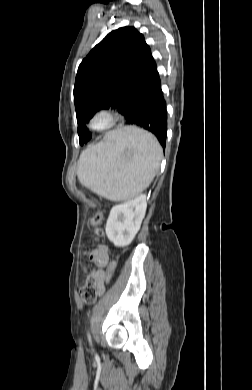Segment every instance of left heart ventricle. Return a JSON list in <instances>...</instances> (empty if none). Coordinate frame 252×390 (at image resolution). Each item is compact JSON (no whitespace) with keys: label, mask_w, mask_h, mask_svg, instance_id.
I'll use <instances>...</instances> for the list:
<instances>
[{"label":"left heart ventricle","mask_w":252,"mask_h":390,"mask_svg":"<svg viewBox=\"0 0 252 390\" xmlns=\"http://www.w3.org/2000/svg\"><path fill=\"white\" fill-rule=\"evenodd\" d=\"M103 123H104V120H103V119H99V120H97V122H96V124H97L98 126L102 125Z\"/></svg>","instance_id":"left-heart-ventricle-1"}]
</instances>
